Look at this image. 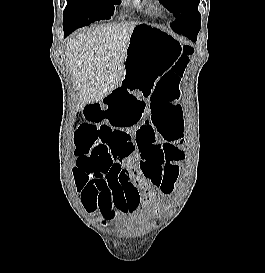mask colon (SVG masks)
<instances>
[{
  "instance_id": "5ec220e1",
  "label": "colon",
  "mask_w": 265,
  "mask_h": 273,
  "mask_svg": "<svg viewBox=\"0 0 265 273\" xmlns=\"http://www.w3.org/2000/svg\"><path fill=\"white\" fill-rule=\"evenodd\" d=\"M191 53L190 47L183 48L171 68L157 81L151 95L150 128H155V132L160 133L159 138L164 140L161 159L166 160L162 169L152 174V183L163 193L173 190L180 175V163L184 158V153L179 147L182 146L184 119L178 100L181 95L180 79ZM109 124L113 126V123ZM114 136L115 133L111 129H76L74 140L77 161L73 173L77 187L84 193L96 194L99 181L91 179L90 176L107 170V147Z\"/></svg>"
}]
</instances>
